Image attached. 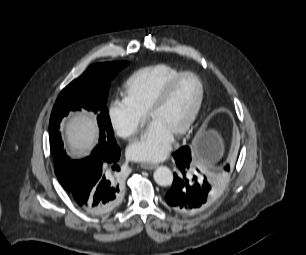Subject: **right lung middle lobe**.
Masks as SVG:
<instances>
[{
    "label": "right lung middle lobe",
    "instance_id": "1",
    "mask_svg": "<svg viewBox=\"0 0 306 255\" xmlns=\"http://www.w3.org/2000/svg\"><path fill=\"white\" fill-rule=\"evenodd\" d=\"M128 64V62H106L92 65L59 94L50 117L49 137L55 174L62 185L68 180L69 168L67 165L72 160L67 157L63 150L61 134L58 131L61 119L67 116L70 110L83 108L92 111L97 114L100 138L98 145L90 156L97 155L102 149L116 147L106 103L110 82L117 72Z\"/></svg>",
    "mask_w": 306,
    "mask_h": 255
}]
</instances>
